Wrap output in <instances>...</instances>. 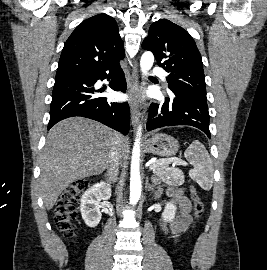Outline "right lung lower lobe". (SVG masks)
<instances>
[{"mask_svg":"<svg viewBox=\"0 0 267 270\" xmlns=\"http://www.w3.org/2000/svg\"><path fill=\"white\" fill-rule=\"evenodd\" d=\"M111 79L115 91H126V80L119 61L100 69L56 76L50 107L48 130L59 121L81 116L99 121L126 135L130 110L127 103H108L97 96L93 85L97 80Z\"/></svg>","mask_w":267,"mask_h":270,"instance_id":"1","label":"right lung lower lobe"}]
</instances>
